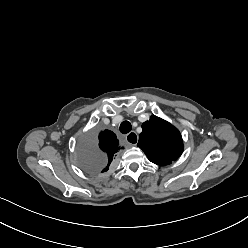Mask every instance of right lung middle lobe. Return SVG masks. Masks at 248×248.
<instances>
[{
	"label": "right lung middle lobe",
	"instance_id": "right-lung-middle-lobe-1",
	"mask_svg": "<svg viewBox=\"0 0 248 248\" xmlns=\"http://www.w3.org/2000/svg\"><path fill=\"white\" fill-rule=\"evenodd\" d=\"M80 166L86 172L96 175L103 173L106 156L94 141L82 139L79 143Z\"/></svg>",
	"mask_w": 248,
	"mask_h": 248
}]
</instances>
